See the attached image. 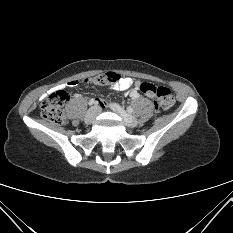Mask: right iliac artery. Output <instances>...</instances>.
<instances>
[{"label": "right iliac artery", "instance_id": "right-iliac-artery-1", "mask_svg": "<svg viewBox=\"0 0 233 233\" xmlns=\"http://www.w3.org/2000/svg\"><path fill=\"white\" fill-rule=\"evenodd\" d=\"M96 103H97V101H96L95 98H92V99H90V101H89V105H93V104H96Z\"/></svg>", "mask_w": 233, "mask_h": 233}]
</instances>
